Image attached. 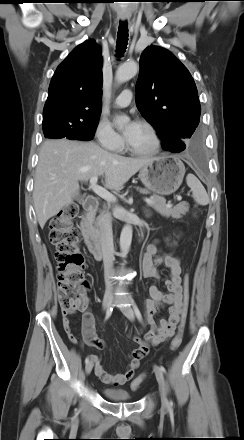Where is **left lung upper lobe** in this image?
<instances>
[{"mask_svg":"<svg viewBox=\"0 0 244 440\" xmlns=\"http://www.w3.org/2000/svg\"><path fill=\"white\" fill-rule=\"evenodd\" d=\"M136 104L165 150H185L199 124L201 107L191 74L168 50L150 46L143 51Z\"/></svg>","mask_w":244,"mask_h":440,"instance_id":"5c2ea615","label":"left lung upper lobe"}]
</instances>
